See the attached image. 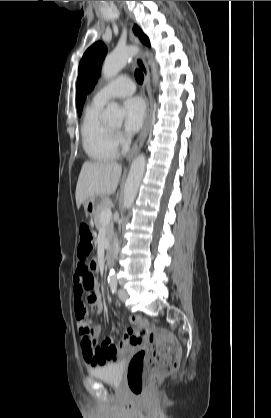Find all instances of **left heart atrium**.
Here are the masks:
<instances>
[{
    "label": "left heart atrium",
    "instance_id": "39dd6f15",
    "mask_svg": "<svg viewBox=\"0 0 271 418\" xmlns=\"http://www.w3.org/2000/svg\"><path fill=\"white\" fill-rule=\"evenodd\" d=\"M125 111V124L124 128L127 133L135 134L142 127L145 116L146 109L143 101L138 98H130L124 104Z\"/></svg>",
    "mask_w": 271,
    "mask_h": 418
}]
</instances>
